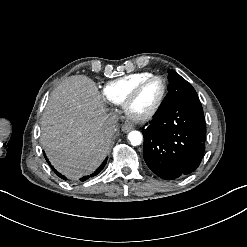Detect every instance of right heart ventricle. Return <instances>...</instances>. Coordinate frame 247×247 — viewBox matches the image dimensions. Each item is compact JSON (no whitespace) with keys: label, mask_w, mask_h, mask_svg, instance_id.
I'll return each instance as SVG.
<instances>
[{"label":"right heart ventricle","mask_w":247,"mask_h":247,"mask_svg":"<svg viewBox=\"0 0 247 247\" xmlns=\"http://www.w3.org/2000/svg\"><path fill=\"white\" fill-rule=\"evenodd\" d=\"M152 75L149 72L131 74L109 82L106 85L105 99L114 103L121 104L126 95L131 91L132 87L141 79Z\"/></svg>","instance_id":"1"}]
</instances>
